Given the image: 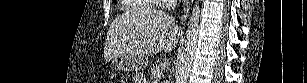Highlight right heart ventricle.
I'll return each instance as SVG.
<instances>
[{
  "instance_id": "e07e8e85",
  "label": "right heart ventricle",
  "mask_w": 307,
  "mask_h": 83,
  "mask_svg": "<svg viewBox=\"0 0 307 83\" xmlns=\"http://www.w3.org/2000/svg\"><path fill=\"white\" fill-rule=\"evenodd\" d=\"M155 5L153 1H143V0H126V9L128 11H141V10H149L154 8Z\"/></svg>"
}]
</instances>
